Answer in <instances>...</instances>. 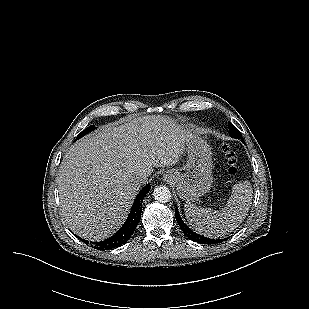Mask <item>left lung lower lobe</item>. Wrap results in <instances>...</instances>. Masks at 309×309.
<instances>
[{
	"label": "left lung lower lobe",
	"mask_w": 309,
	"mask_h": 309,
	"mask_svg": "<svg viewBox=\"0 0 309 309\" xmlns=\"http://www.w3.org/2000/svg\"><path fill=\"white\" fill-rule=\"evenodd\" d=\"M243 141V140H242ZM243 143H245L243 141ZM175 216H176V220L181 228V230L183 231V233L192 241L200 243V244H215V243H220L222 241H225L226 239H210L207 237H203L201 235L196 234L195 232H193L189 227H187V225L183 222V220L181 219L179 212H178V208H175Z\"/></svg>",
	"instance_id": "1"
}]
</instances>
